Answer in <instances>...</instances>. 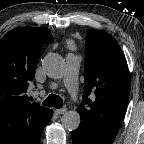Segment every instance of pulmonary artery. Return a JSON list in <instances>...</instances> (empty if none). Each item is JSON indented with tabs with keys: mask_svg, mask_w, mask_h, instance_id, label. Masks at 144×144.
Instances as JSON below:
<instances>
[{
	"mask_svg": "<svg viewBox=\"0 0 144 144\" xmlns=\"http://www.w3.org/2000/svg\"><path fill=\"white\" fill-rule=\"evenodd\" d=\"M66 71L63 83L71 95L74 94L78 84L80 57L72 53L66 56Z\"/></svg>",
	"mask_w": 144,
	"mask_h": 144,
	"instance_id": "obj_1",
	"label": "pulmonary artery"
}]
</instances>
